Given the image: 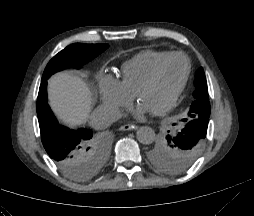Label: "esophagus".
I'll return each instance as SVG.
<instances>
[{"label":"esophagus","instance_id":"1","mask_svg":"<svg viewBox=\"0 0 254 216\" xmlns=\"http://www.w3.org/2000/svg\"><path fill=\"white\" fill-rule=\"evenodd\" d=\"M135 129H137V126L135 124H131V123L122 125L119 128L120 131H128V130H135Z\"/></svg>","mask_w":254,"mask_h":216}]
</instances>
